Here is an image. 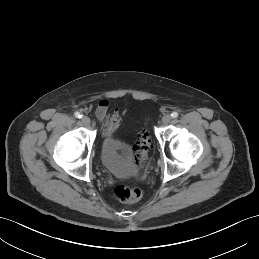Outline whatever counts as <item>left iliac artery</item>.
I'll return each instance as SVG.
<instances>
[{
  "label": "left iliac artery",
  "instance_id": "obj_1",
  "mask_svg": "<svg viewBox=\"0 0 259 259\" xmlns=\"http://www.w3.org/2000/svg\"><path fill=\"white\" fill-rule=\"evenodd\" d=\"M171 117H172V118H177V117H178V113H177V112H175V111H174V112H172Z\"/></svg>",
  "mask_w": 259,
  "mask_h": 259
}]
</instances>
